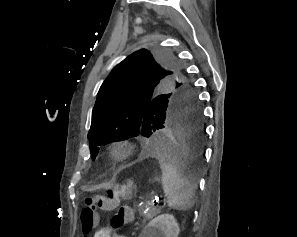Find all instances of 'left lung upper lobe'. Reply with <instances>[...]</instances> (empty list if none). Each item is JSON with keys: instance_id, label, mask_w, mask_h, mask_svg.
Here are the masks:
<instances>
[{"instance_id": "obj_1", "label": "left lung upper lobe", "mask_w": 297, "mask_h": 237, "mask_svg": "<svg viewBox=\"0 0 297 237\" xmlns=\"http://www.w3.org/2000/svg\"><path fill=\"white\" fill-rule=\"evenodd\" d=\"M199 99L180 63L167 50L141 49L126 57L100 87L88 133L92 159L98 146L139 137V151L180 100Z\"/></svg>"}]
</instances>
